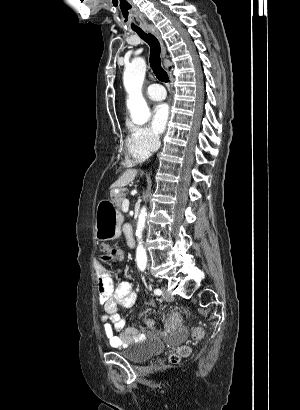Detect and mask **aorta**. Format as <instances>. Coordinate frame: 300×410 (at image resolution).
Masks as SVG:
<instances>
[{
    "instance_id": "aorta-1",
    "label": "aorta",
    "mask_w": 300,
    "mask_h": 410,
    "mask_svg": "<svg viewBox=\"0 0 300 410\" xmlns=\"http://www.w3.org/2000/svg\"><path fill=\"white\" fill-rule=\"evenodd\" d=\"M146 73V62L143 58H135L126 66L123 74V83L128 94L127 108L132 121L137 125L147 123L150 118V110L142 94V86ZM147 209L143 206L138 216L136 237V263L141 271L146 269L147 253L142 244V233L145 227Z\"/></svg>"
}]
</instances>
